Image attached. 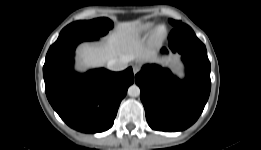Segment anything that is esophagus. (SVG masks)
<instances>
[{"label":"esophagus","instance_id":"esophagus-1","mask_svg":"<svg viewBox=\"0 0 261 150\" xmlns=\"http://www.w3.org/2000/svg\"><path fill=\"white\" fill-rule=\"evenodd\" d=\"M140 71V66L138 64L133 65V72L134 74H137Z\"/></svg>","mask_w":261,"mask_h":150}]
</instances>
